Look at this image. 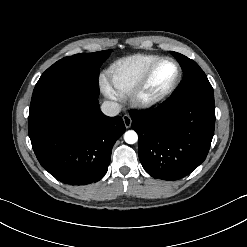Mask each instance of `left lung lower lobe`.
Returning <instances> with one entry per match:
<instances>
[{"label":"left lung lower lobe","mask_w":247,"mask_h":247,"mask_svg":"<svg viewBox=\"0 0 247 247\" xmlns=\"http://www.w3.org/2000/svg\"><path fill=\"white\" fill-rule=\"evenodd\" d=\"M138 155L154 178L178 180L204 162L214 135V96L166 102L153 111L131 114Z\"/></svg>","instance_id":"left-lung-lower-lobe-1"}]
</instances>
